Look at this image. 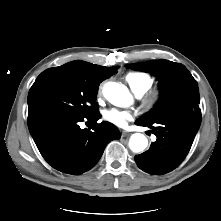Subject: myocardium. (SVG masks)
<instances>
[{
    "instance_id": "1",
    "label": "myocardium",
    "mask_w": 221,
    "mask_h": 221,
    "mask_svg": "<svg viewBox=\"0 0 221 221\" xmlns=\"http://www.w3.org/2000/svg\"><path fill=\"white\" fill-rule=\"evenodd\" d=\"M161 97L160 91L158 90H149L143 97L142 106L145 111L153 109L159 102Z\"/></svg>"
}]
</instances>
